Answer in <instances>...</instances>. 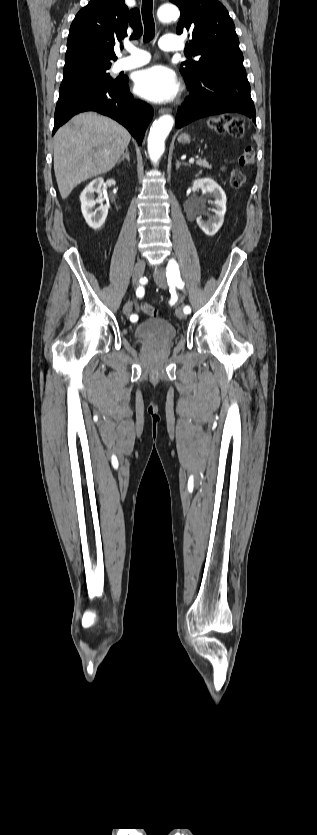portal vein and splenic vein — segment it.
<instances>
[{"instance_id":"portal-vein-and-splenic-vein-1","label":"portal vein and splenic vein","mask_w":317,"mask_h":835,"mask_svg":"<svg viewBox=\"0 0 317 835\" xmlns=\"http://www.w3.org/2000/svg\"><path fill=\"white\" fill-rule=\"evenodd\" d=\"M190 162H194V159H193V158H191V159H190Z\"/></svg>"}]
</instances>
